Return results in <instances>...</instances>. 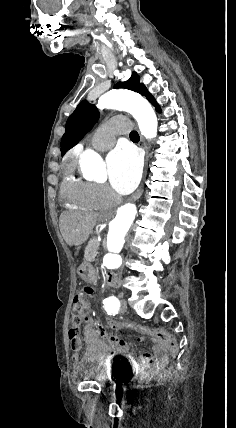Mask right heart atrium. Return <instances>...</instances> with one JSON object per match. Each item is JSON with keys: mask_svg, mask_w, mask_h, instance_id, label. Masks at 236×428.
Returning <instances> with one entry per match:
<instances>
[{"mask_svg": "<svg viewBox=\"0 0 236 428\" xmlns=\"http://www.w3.org/2000/svg\"><path fill=\"white\" fill-rule=\"evenodd\" d=\"M94 191L97 197L103 202L114 198V194L104 185H94Z\"/></svg>", "mask_w": 236, "mask_h": 428, "instance_id": "d8ad5b80", "label": "right heart atrium"}]
</instances>
